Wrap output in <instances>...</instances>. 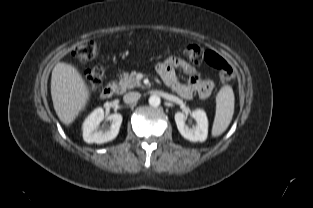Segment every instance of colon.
Instances as JSON below:
<instances>
[{"label":"colon","instance_id":"colon-1","mask_svg":"<svg viewBox=\"0 0 313 208\" xmlns=\"http://www.w3.org/2000/svg\"><path fill=\"white\" fill-rule=\"evenodd\" d=\"M97 53V46L93 41H86L78 45L73 52L75 58L80 62L92 60ZM183 54L192 62L199 64L206 62L218 71L219 78L228 82L234 78V70L231 65L219 54L213 51H203L195 44H188L183 47ZM104 71L102 67L96 66L86 72V81L91 90H96L102 83Z\"/></svg>","mask_w":313,"mask_h":208}]
</instances>
